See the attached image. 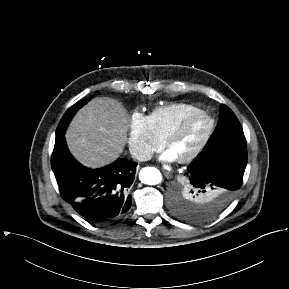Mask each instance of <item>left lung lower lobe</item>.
Here are the masks:
<instances>
[{
	"label": "left lung lower lobe",
	"mask_w": 289,
	"mask_h": 289,
	"mask_svg": "<svg viewBox=\"0 0 289 289\" xmlns=\"http://www.w3.org/2000/svg\"><path fill=\"white\" fill-rule=\"evenodd\" d=\"M247 164L245 145L228 146L201 153L188 166L184 181L211 196L209 211L221 213L242 185Z\"/></svg>",
	"instance_id": "1"
}]
</instances>
